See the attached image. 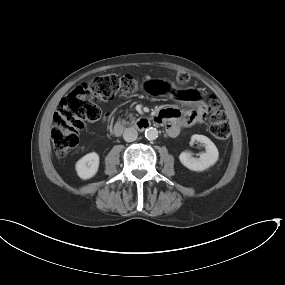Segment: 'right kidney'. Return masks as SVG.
Returning <instances> with one entry per match:
<instances>
[{
	"instance_id": "ca27d5eb",
	"label": "right kidney",
	"mask_w": 285,
	"mask_h": 285,
	"mask_svg": "<svg viewBox=\"0 0 285 285\" xmlns=\"http://www.w3.org/2000/svg\"><path fill=\"white\" fill-rule=\"evenodd\" d=\"M99 155L96 152L88 153L79 159L75 165L78 176L81 179H90L98 171Z\"/></svg>"
}]
</instances>
